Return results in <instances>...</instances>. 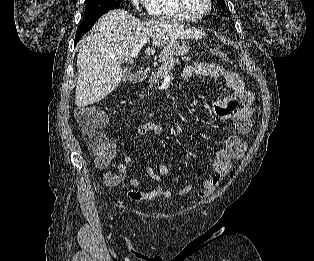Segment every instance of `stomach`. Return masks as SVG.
<instances>
[{"label": "stomach", "instance_id": "obj_1", "mask_svg": "<svg viewBox=\"0 0 314 261\" xmlns=\"http://www.w3.org/2000/svg\"><path fill=\"white\" fill-rule=\"evenodd\" d=\"M163 49L159 58L160 60L165 59L168 56H185L189 52V45L185 41L173 40Z\"/></svg>", "mask_w": 314, "mask_h": 261}]
</instances>
